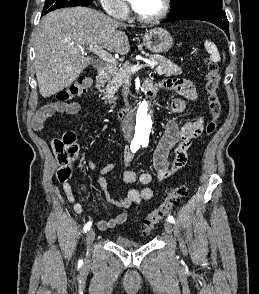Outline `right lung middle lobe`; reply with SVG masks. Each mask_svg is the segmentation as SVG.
<instances>
[{
	"instance_id": "dd1d6c3e",
	"label": "right lung middle lobe",
	"mask_w": 259,
	"mask_h": 294,
	"mask_svg": "<svg viewBox=\"0 0 259 294\" xmlns=\"http://www.w3.org/2000/svg\"><path fill=\"white\" fill-rule=\"evenodd\" d=\"M93 0H46L42 15H45L55 9L75 6H88Z\"/></svg>"
}]
</instances>
